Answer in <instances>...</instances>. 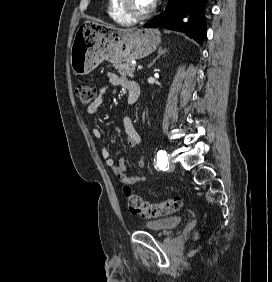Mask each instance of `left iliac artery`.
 <instances>
[{
  "mask_svg": "<svg viewBox=\"0 0 272 282\" xmlns=\"http://www.w3.org/2000/svg\"><path fill=\"white\" fill-rule=\"evenodd\" d=\"M168 165V158L165 150H159L157 153L156 166L164 170Z\"/></svg>",
  "mask_w": 272,
  "mask_h": 282,
  "instance_id": "1",
  "label": "left iliac artery"
}]
</instances>
